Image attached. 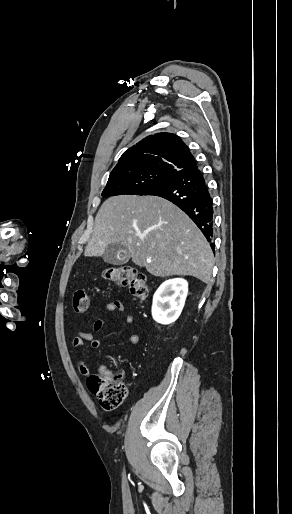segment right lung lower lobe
<instances>
[{
    "label": "right lung lower lobe",
    "mask_w": 292,
    "mask_h": 514,
    "mask_svg": "<svg viewBox=\"0 0 292 514\" xmlns=\"http://www.w3.org/2000/svg\"><path fill=\"white\" fill-rule=\"evenodd\" d=\"M143 195L165 198L182 209L206 239L213 238V200L198 166L176 172ZM214 249V244H210Z\"/></svg>",
    "instance_id": "98d812e1"
}]
</instances>
